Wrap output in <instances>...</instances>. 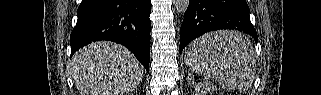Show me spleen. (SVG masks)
I'll return each instance as SVG.
<instances>
[{"label":"spleen","instance_id":"spleen-1","mask_svg":"<svg viewBox=\"0 0 321 95\" xmlns=\"http://www.w3.org/2000/svg\"><path fill=\"white\" fill-rule=\"evenodd\" d=\"M185 62L195 73L207 76L227 90L248 89L256 74L251 41L236 31H217L189 44Z\"/></svg>","mask_w":321,"mask_h":95}]
</instances>
